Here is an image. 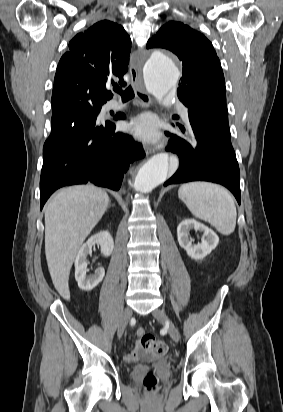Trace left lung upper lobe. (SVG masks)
Here are the masks:
<instances>
[{
    "label": "left lung upper lobe",
    "mask_w": 283,
    "mask_h": 412,
    "mask_svg": "<svg viewBox=\"0 0 283 412\" xmlns=\"http://www.w3.org/2000/svg\"><path fill=\"white\" fill-rule=\"evenodd\" d=\"M146 47L165 48L178 56L183 70L177 95L189 116L214 133L230 136L224 75L211 42L189 26L170 21Z\"/></svg>",
    "instance_id": "5c2ea615"
}]
</instances>
